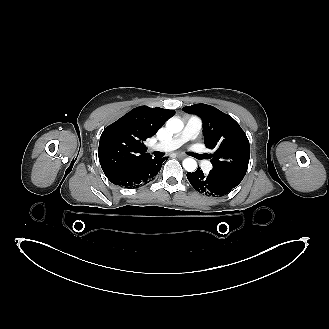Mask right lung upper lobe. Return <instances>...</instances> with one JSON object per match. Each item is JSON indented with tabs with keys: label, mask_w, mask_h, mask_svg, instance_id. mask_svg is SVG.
<instances>
[{
	"label": "right lung upper lobe",
	"mask_w": 329,
	"mask_h": 329,
	"mask_svg": "<svg viewBox=\"0 0 329 329\" xmlns=\"http://www.w3.org/2000/svg\"><path fill=\"white\" fill-rule=\"evenodd\" d=\"M175 111L140 106L106 127L100 137L98 156L106 176L127 171L143 160L146 139L155 135Z\"/></svg>",
	"instance_id": "cb5924a9"
}]
</instances>
